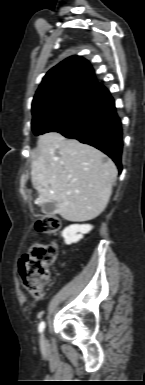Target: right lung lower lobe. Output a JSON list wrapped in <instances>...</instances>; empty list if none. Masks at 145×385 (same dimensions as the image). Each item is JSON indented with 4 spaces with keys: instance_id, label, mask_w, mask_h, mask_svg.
Wrapping results in <instances>:
<instances>
[{
    "instance_id": "1",
    "label": "right lung lower lobe",
    "mask_w": 145,
    "mask_h": 385,
    "mask_svg": "<svg viewBox=\"0 0 145 385\" xmlns=\"http://www.w3.org/2000/svg\"><path fill=\"white\" fill-rule=\"evenodd\" d=\"M56 132L101 150L122 171V127L109 91L102 92L93 104Z\"/></svg>"
}]
</instances>
